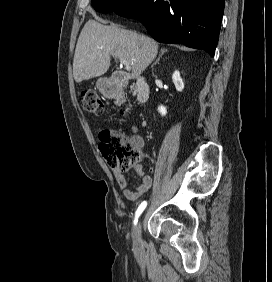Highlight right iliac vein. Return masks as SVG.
<instances>
[{"instance_id": "63e3f726", "label": "right iliac vein", "mask_w": 272, "mask_h": 282, "mask_svg": "<svg viewBox=\"0 0 272 282\" xmlns=\"http://www.w3.org/2000/svg\"><path fill=\"white\" fill-rule=\"evenodd\" d=\"M141 228H142V219L139 220V222L136 224L134 229V243L137 245L140 240L141 235Z\"/></svg>"}]
</instances>
